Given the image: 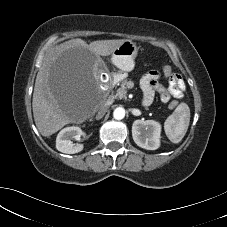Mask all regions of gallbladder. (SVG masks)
Listing matches in <instances>:
<instances>
[{
  "label": "gallbladder",
  "instance_id": "bac80fb5",
  "mask_svg": "<svg viewBox=\"0 0 227 227\" xmlns=\"http://www.w3.org/2000/svg\"><path fill=\"white\" fill-rule=\"evenodd\" d=\"M95 67L98 73H103L105 71L104 62L102 60H97L95 62Z\"/></svg>",
  "mask_w": 227,
  "mask_h": 227
}]
</instances>
